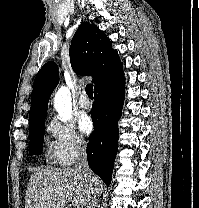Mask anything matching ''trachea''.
Wrapping results in <instances>:
<instances>
[{
	"label": "trachea",
	"instance_id": "1",
	"mask_svg": "<svg viewBox=\"0 0 199 208\" xmlns=\"http://www.w3.org/2000/svg\"><path fill=\"white\" fill-rule=\"evenodd\" d=\"M85 90H86L88 97L93 99V85L87 84Z\"/></svg>",
	"mask_w": 199,
	"mask_h": 208
}]
</instances>
